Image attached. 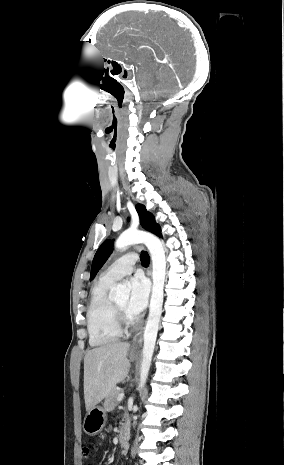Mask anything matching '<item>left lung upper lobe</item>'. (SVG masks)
Instances as JSON below:
<instances>
[{
	"mask_svg": "<svg viewBox=\"0 0 284 465\" xmlns=\"http://www.w3.org/2000/svg\"><path fill=\"white\" fill-rule=\"evenodd\" d=\"M136 210L140 217V223L144 227V229L161 237L162 235H161L160 226L157 223H155L154 216L146 210L145 206L142 204H137ZM112 247H113L112 240H106L101 244L92 262L90 280H92L95 277L98 270L106 262V260L112 253Z\"/></svg>",
	"mask_w": 284,
	"mask_h": 465,
	"instance_id": "1",
	"label": "left lung upper lobe"
}]
</instances>
